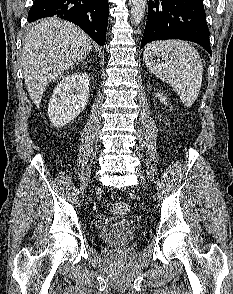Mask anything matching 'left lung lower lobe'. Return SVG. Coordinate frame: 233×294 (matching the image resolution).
<instances>
[{"label": "left lung lower lobe", "mask_w": 233, "mask_h": 294, "mask_svg": "<svg viewBox=\"0 0 233 294\" xmlns=\"http://www.w3.org/2000/svg\"><path fill=\"white\" fill-rule=\"evenodd\" d=\"M182 39L195 42L212 55L203 0H150L141 48L148 42Z\"/></svg>", "instance_id": "obj_1"}]
</instances>
